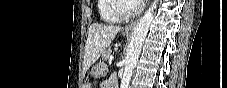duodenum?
<instances>
[{
	"mask_svg": "<svg viewBox=\"0 0 227 88\" xmlns=\"http://www.w3.org/2000/svg\"><path fill=\"white\" fill-rule=\"evenodd\" d=\"M117 85V79L113 81V86L115 87Z\"/></svg>",
	"mask_w": 227,
	"mask_h": 88,
	"instance_id": "obj_1",
	"label": "duodenum"
}]
</instances>
